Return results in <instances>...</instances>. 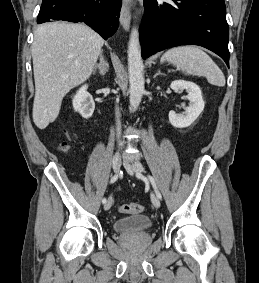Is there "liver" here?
I'll return each instance as SVG.
<instances>
[{"instance_id": "obj_1", "label": "liver", "mask_w": 259, "mask_h": 283, "mask_svg": "<svg viewBox=\"0 0 259 283\" xmlns=\"http://www.w3.org/2000/svg\"><path fill=\"white\" fill-rule=\"evenodd\" d=\"M104 40L85 24L50 22L34 32L33 121L45 129L58 117L63 97L92 74Z\"/></svg>"}]
</instances>
